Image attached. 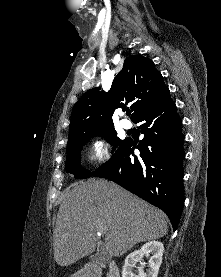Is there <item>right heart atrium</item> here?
Returning <instances> with one entry per match:
<instances>
[{
  "instance_id": "1",
  "label": "right heart atrium",
  "mask_w": 221,
  "mask_h": 277,
  "mask_svg": "<svg viewBox=\"0 0 221 277\" xmlns=\"http://www.w3.org/2000/svg\"><path fill=\"white\" fill-rule=\"evenodd\" d=\"M108 157V146L102 139H97L91 145L88 152V160L91 162H100Z\"/></svg>"
}]
</instances>
